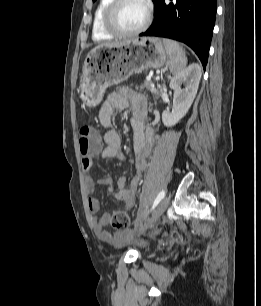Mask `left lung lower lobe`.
Returning a JSON list of instances; mask_svg holds the SVG:
<instances>
[{"instance_id": "0a47b994", "label": "left lung lower lobe", "mask_w": 261, "mask_h": 306, "mask_svg": "<svg viewBox=\"0 0 261 306\" xmlns=\"http://www.w3.org/2000/svg\"><path fill=\"white\" fill-rule=\"evenodd\" d=\"M155 19L140 36L171 38L187 44L206 67L216 17V0H154Z\"/></svg>"}]
</instances>
